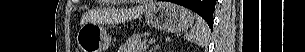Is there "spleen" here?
I'll return each mask as SVG.
<instances>
[{"mask_svg": "<svg viewBox=\"0 0 305 52\" xmlns=\"http://www.w3.org/2000/svg\"><path fill=\"white\" fill-rule=\"evenodd\" d=\"M196 23L194 27H192L191 31L189 33L185 34V38L193 43H196L200 46H204L208 42L209 38V27L205 20L200 17L199 15H195Z\"/></svg>", "mask_w": 305, "mask_h": 52, "instance_id": "obj_1", "label": "spleen"}]
</instances>
